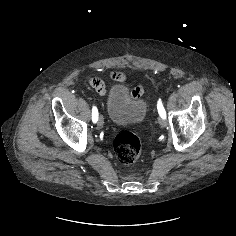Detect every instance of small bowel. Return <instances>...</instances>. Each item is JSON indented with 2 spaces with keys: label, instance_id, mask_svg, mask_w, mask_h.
I'll return each instance as SVG.
<instances>
[{
  "label": "small bowel",
  "instance_id": "1",
  "mask_svg": "<svg viewBox=\"0 0 236 236\" xmlns=\"http://www.w3.org/2000/svg\"><path fill=\"white\" fill-rule=\"evenodd\" d=\"M111 78L116 80V81H120V82H124L126 80V76L121 73V72H113L111 73ZM89 84L96 89L97 92H99L100 94H104L105 92V87H104V84L102 83L101 80L97 79V78H91L89 80ZM141 89L140 88H137L135 90V94L136 95H139L141 94Z\"/></svg>",
  "mask_w": 236,
  "mask_h": 236
}]
</instances>
